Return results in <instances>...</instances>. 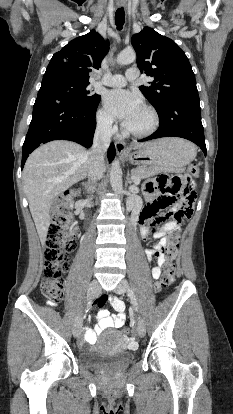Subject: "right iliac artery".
<instances>
[{
  "label": "right iliac artery",
  "instance_id": "obj_1",
  "mask_svg": "<svg viewBox=\"0 0 233 414\" xmlns=\"http://www.w3.org/2000/svg\"><path fill=\"white\" fill-rule=\"evenodd\" d=\"M87 305H88V306H89V305H91V301H90V302H88V304H87Z\"/></svg>",
  "mask_w": 233,
  "mask_h": 414
}]
</instances>
